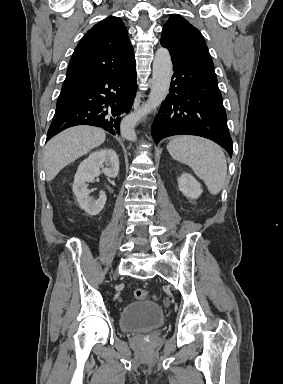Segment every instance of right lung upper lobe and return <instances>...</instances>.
<instances>
[{
  "label": "right lung upper lobe",
  "mask_w": 283,
  "mask_h": 384,
  "mask_svg": "<svg viewBox=\"0 0 283 384\" xmlns=\"http://www.w3.org/2000/svg\"><path fill=\"white\" fill-rule=\"evenodd\" d=\"M135 66L127 29L118 17L97 23L78 43L69 63L62 92L87 81L130 70Z\"/></svg>",
  "instance_id": "cb5924a9"
}]
</instances>
